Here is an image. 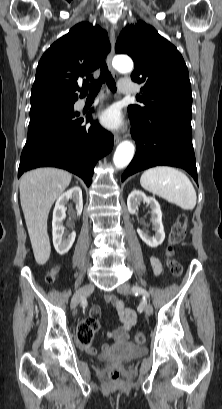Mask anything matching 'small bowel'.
Segmentation results:
<instances>
[{
	"instance_id": "obj_1",
	"label": "small bowel",
	"mask_w": 222,
	"mask_h": 409,
	"mask_svg": "<svg viewBox=\"0 0 222 409\" xmlns=\"http://www.w3.org/2000/svg\"><path fill=\"white\" fill-rule=\"evenodd\" d=\"M150 263L154 273L160 275L163 270L161 260L157 256H152L150 258ZM106 302L114 308L119 320V326L114 330L107 332V337L115 343H123L128 340L131 329L136 325L137 315L135 311L125 305L123 300L114 295H108L106 297ZM100 314V309L98 307H93L87 319L96 322L99 325ZM80 344L89 354H96L98 352L97 348L93 347L91 343ZM102 348L104 351H107L110 349V345L105 344Z\"/></svg>"
}]
</instances>
